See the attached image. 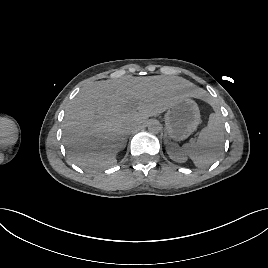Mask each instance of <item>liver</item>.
Masks as SVG:
<instances>
[{
    "label": "liver",
    "mask_w": 268,
    "mask_h": 268,
    "mask_svg": "<svg viewBox=\"0 0 268 268\" xmlns=\"http://www.w3.org/2000/svg\"><path fill=\"white\" fill-rule=\"evenodd\" d=\"M186 97L201 95L181 77L124 76L85 86L70 102L63 121V142L71 160L86 170L115 165L127 126H139ZM130 105L135 109L128 110Z\"/></svg>",
    "instance_id": "obj_1"
}]
</instances>
